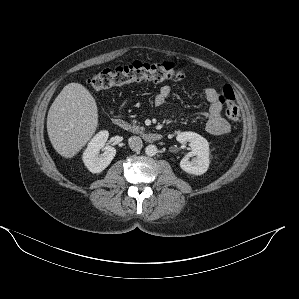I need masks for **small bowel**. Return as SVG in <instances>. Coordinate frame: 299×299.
Returning <instances> with one entry per match:
<instances>
[{"label": "small bowel", "mask_w": 299, "mask_h": 299, "mask_svg": "<svg viewBox=\"0 0 299 299\" xmlns=\"http://www.w3.org/2000/svg\"><path fill=\"white\" fill-rule=\"evenodd\" d=\"M172 90L168 85L162 86L154 96V103L162 106L166 103ZM205 99L209 103L208 110L204 113L206 130L213 135H223L230 131L229 122L222 116V104L218 99V93L213 88H207L204 92Z\"/></svg>", "instance_id": "c3829d8e"}]
</instances>
